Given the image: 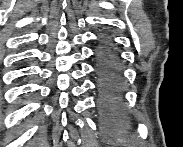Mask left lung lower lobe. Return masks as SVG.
I'll return each mask as SVG.
<instances>
[{
    "mask_svg": "<svg viewBox=\"0 0 183 147\" xmlns=\"http://www.w3.org/2000/svg\"><path fill=\"white\" fill-rule=\"evenodd\" d=\"M98 110L105 134H120L127 130V122L120 106V72L115 53L109 46L98 52Z\"/></svg>",
    "mask_w": 183,
    "mask_h": 147,
    "instance_id": "1",
    "label": "left lung lower lobe"
}]
</instances>
